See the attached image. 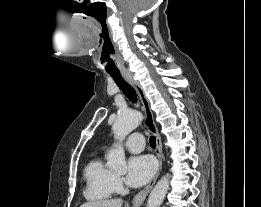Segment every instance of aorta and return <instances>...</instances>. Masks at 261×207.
Instances as JSON below:
<instances>
[{
    "label": "aorta",
    "instance_id": "obj_1",
    "mask_svg": "<svg viewBox=\"0 0 261 207\" xmlns=\"http://www.w3.org/2000/svg\"><path fill=\"white\" fill-rule=\"evenodd\" d=\"M142 121V114L137 111L121 112L115 120L112 131L119 144L107 154V166L115 171L126 169L125 152L121 145L125 137ZM169 188V176H163L151 191L147 207H160Z\"/></svg>",
    "mask_w": 261,
    "mask_h": 207
}]
</instances>
